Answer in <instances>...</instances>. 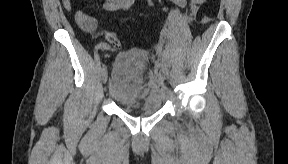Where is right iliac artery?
I'll return each mask as SVG.
<instances>
[{
	"instance_id": "1",
	"label": "right iliac artery",
	"mask_w": 288,
	"mask_h": 164,
	"mask_svg": "<svg viewBox=\"0 0 288 164\" xmlns=\"http://www.w3.org/2000/svg\"><path fill=\"white\" fill-rule=\"evenodd\" d=\"M98 48L104 49V50H109L111 46L108 43H100L98 45Z\"/></svg>"
}]
</instances>
